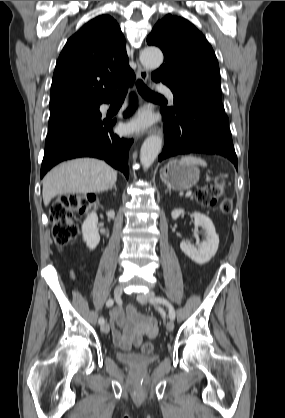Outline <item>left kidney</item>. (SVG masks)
<instances>
[{
	"label": "left kidney",
	"mask_w": 285,
	"mask_h": 418,
	"mask_svg": "<svg viewBox=\"0 0 285 418\" xmlns=\"http://www.w3.org/2000/svg\"><path fill=\"white\" fill-rule=\"evenodd\" d=\"M182 214H184L183 209H175L172 211L171 216L175 220ZM192 216L194 217L195 227H202L205 231L206 240L198 248L191 245L188 241L183 240L180 243V248L194 262L205 264L215 256L218 250L219 236L215 231L212 220L208 216L199 212L192 213Z\"/></svg>",
	"instance_id": "left-kidney-1"
}]
</instances>
